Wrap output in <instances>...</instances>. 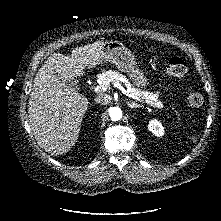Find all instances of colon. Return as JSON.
Returning <instances> with one entry per match:
<instances>
[{"label": "colon", "mask_w": 221, "mask_h": 221, "mask_svg": "<svg viewBox=\"0 0 221 221\" xmlns=\"http://www.w3.org/2000/svg\"><path fill=\"white\" fill-rule=\"evenodd\" d=\"M165 72L171 77L180 78L187 72L186 63L180 57H172L166 64ZM186 101L190 107H199L203 104V96L200 92L193 91L188 94Z\"/></svg>", "instance_id": "5ec220e1"}]
</instances>
